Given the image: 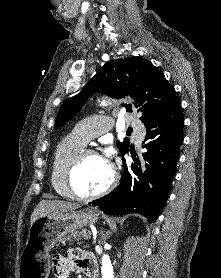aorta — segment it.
I'll list each match as a JSON object with an SVG mask.
<instances>
[{"label": "aorta", "instance_id": "aorta-1", "mask_svg": "<svg viewBox=\"0 0 221 278\" xmlns=\"http://www.w3.org/2000/svg\"><path fill=\"white\" fill-rule=\"evenodd\" d=\"M102 278H114L113 267L111 265L110 257L107 254L102 256Z\"/></svg>", "mask_w": 221, "mask_h": 278}]
</instances>
